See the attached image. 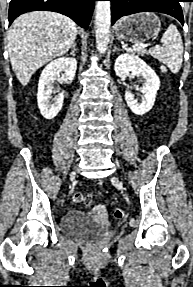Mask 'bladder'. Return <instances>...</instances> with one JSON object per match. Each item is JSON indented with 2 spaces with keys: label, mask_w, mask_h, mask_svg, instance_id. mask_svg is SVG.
<instances>
[{
  "label": "bladder",
  "mask_w": 193,
  "mask_h": 287,
  "mask_svg": "<svg viewBox=\"0 0 193 287\" xmlns=\"http://www.w3.org/2000/svg\"><path fill=\"white\" fill-rule=\"evenodd\" d=\"M114 231L113 227L99 221L95 215H87L86 211L82 210H69L61 220V232L75 239L98 240Z\"/></svg>",
  "instance_id": "31cf9c89"
}]
</instances>
